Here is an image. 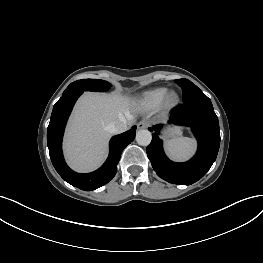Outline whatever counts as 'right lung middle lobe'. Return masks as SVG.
Segmentation results:
<instances>
[{
    "label": "right lung middle lobe",
    "instance_id": "right-lung-middle-lobe-1",
    "mask_svg": "<svg viewBox=\"0 0 263 263\" xmlns=\"http://www.w3.org/2000/svg\"><path fill=\"white\" fill-rule=\"evenodd\" d=\"M111 84L104 80L98 79H82L71 83L62 96L77 91H107Z\"/></svg>",
    "mask_w": 263,
    "mask_h": 263
}]
</instances>
